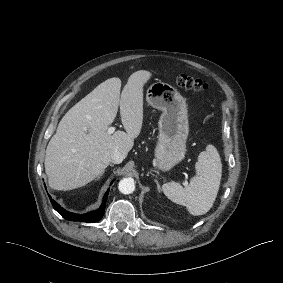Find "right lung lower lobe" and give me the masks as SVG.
I'll return each mask as SVG.
<instances>
[{"instance_id": "obj_1", "label": "right lung lower lobe", "mask_w": 283, "mask_h": 283, "mask_svg": "<svg viewBox=\"0 0 283 283\" xmlns=\"http://www.w3.org/2000/svg\"><path fill=\"white\" fill-rule=\"evenodd\" d=\"M108 193L109 191L106 192V194L104 195L103 198V202L100 206V208L96 211H92L83 215L80 214H74L71 212H68L66 210H64L57 202H55L50 196V200L51 203L54 207V209L61 214V216L63 218H65L66 220H70V221H82V222H97L99 221L103 215H104V211H105V206H106V200L108 197Z\"/></svg>"}]
</instances>
